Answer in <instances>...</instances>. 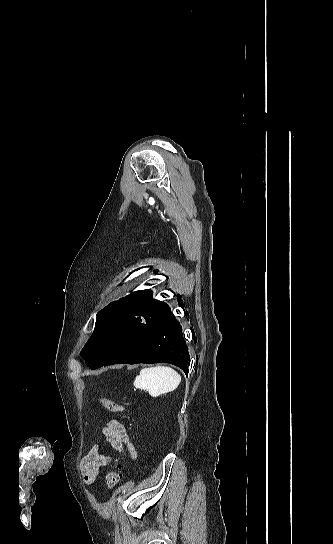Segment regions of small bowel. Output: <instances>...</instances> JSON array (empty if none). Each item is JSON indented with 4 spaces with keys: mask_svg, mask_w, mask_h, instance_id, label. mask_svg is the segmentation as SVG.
Segmentation results:
<instances>
[{
    "mask_svg": "<svg viewBox=\"0 0 333 544\" xmlns=\"http://www.w3.org/2000/svg\"><path fill=\"white\" fill-rule=\"evenodd\" d=\"M106 441L116 450H127L132 457H135V451L130 443L124 425L118 420H110L102 429ZM111 459L103 454L98 445H94L83 457L80 464V471L83 481L91 485L99 475L100 469L107 466Z\"/></svg>",
    "mask_w": 333,
    "mask_h": 544,
    "instance_id": "obj_1",
    "label": "small bowel"
}]
</instances>
